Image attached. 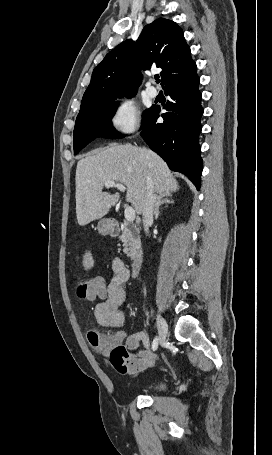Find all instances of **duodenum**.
Segmentation results:
<instances>
[{
    "mask_svg": "<svg viewBox=\"0 0 272 455\" xmlns=\"http://www.w3.org/2000/svg\"><path fill=\"white\" fill-rule=\"evenodd\" d=\"M120 230V227L117 223H113L110 226V233L116 235ZM143 263V255L141 252H137L133 255L131 259V274L133 277H137L140 273Z\"/></svg>",
    "mask_w": 272,
    "mask_h": 455,
    "instance_id": "duodenum-1",
    "label": "duodenum"
}]
</instances>
